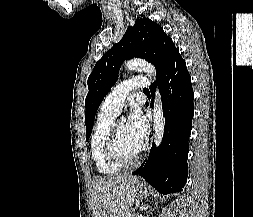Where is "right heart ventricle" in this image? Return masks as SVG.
I'll return each instance as SVG.
<instances>
[{
  "label": "right heart ventricle",
  "mask_w": 253,
  "mask_h": 217,
  "mask_svg": "<svg viewBox=\"0 0 253 217\" xmlns=\"http://www.w3.org/2000/svg\"><path fill=\"white\" fill-rule=\"evenodd\" d=\"M115 117L116 115L113 113L100 110L91 135V157L98 172L104 175H115L122 168V166L112 163L107 158L104 150L105 140Z\"/></svg>",
  "instance_id": "obj_1"
}]
</instances>
